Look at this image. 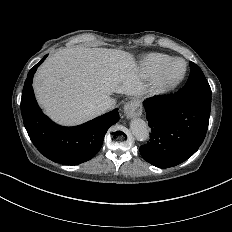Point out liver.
<instances>
[{"label":"liver","mask_w":232,"mask_h":232,"mask_svg":"<svg viewBox=\"0 0 232 232\" xmlns=\"http://www.w3.org/2000/svg\"><path fill=\"white\" fill-rule=\"evenodd\" d=\"M137 84L130 53L86 47L58 50L38 68L33 80L45 114L66 126L101 115L97 106L104 99L113 93L133 94Z\"/></svg>","instance_id":"liver-1"}]
</instances>
